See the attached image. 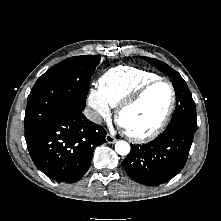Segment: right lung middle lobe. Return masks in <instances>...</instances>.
Here are the masks:
<instances>
[{
	"instance_id": "obj_1",
	"label": "right lung middle lobe",
	"mask_w": 221,
	"mask_h": 221,
	"mask_svg": "<svg viewBox=\"0 0 221 221\" xmlns=\"http://www.w3.org/2000/svg\"><path fill=\"white\" fill-rule=\"evenodd\" d=\"M98 55L68 58L45 72L33 86L25 112V136L55 116L82 112Z\"/></svg>"
}]
</instances>
